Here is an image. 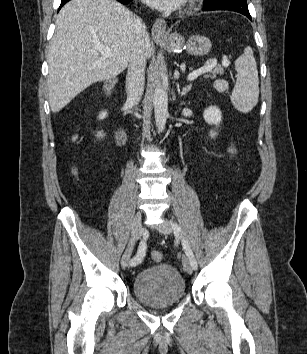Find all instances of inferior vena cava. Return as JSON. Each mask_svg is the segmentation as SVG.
I'll list each match as a JSON object with an SVG mask.
<instances>
[{
	"instance_id": "1",
	"label": "inferior vena cava",
	"mask_w": 307,
	"mask_h": 354,
	"mask_svg": "<svg viewBox=\"0 0 307 354\" xmlns=\"http://www.w3.org/2000/svg\"><path fill=\"white\" fill-rule=\"evenodd\" d=\"M136 41L132 49L128 72L126 76V91L128 101L133 105H138L144 91L146 54L145 44L148 39L146 26L140 19L135 22Z\"/></svg>"
}]
</instances>
